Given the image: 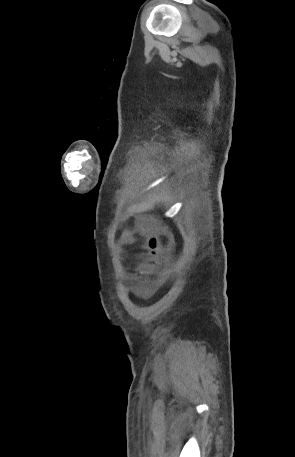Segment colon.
<instances>
[{"label": "colon", "instance_id": "obj_1", "mask_svg": "<svg viewBox=\"0 0 295 457\" xmlns=\"http://www.w3.org/2000/svg\"><path fill=\"white\" fill-rule=\"evenodd\" d=\"M169 243V237L160 232L150 231L144 242V249L148 257V264H154L160 258L163 247ZM141 273H139V276Z\"/></svg>", "mask_w": 295, "mask_h": 457}]
</instances>
